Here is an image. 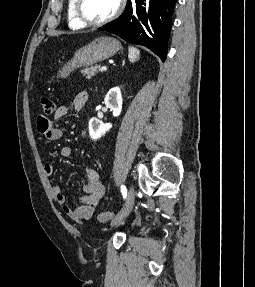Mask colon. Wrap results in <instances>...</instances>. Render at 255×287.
I'll use <instances>...</instances> for the list:
<instances>
[{"instance_id": "5ec220e1", "label": "colon", "mask_w": 255, "mask_h": 287, "mask_svg": "<svg viewBox=\"0 0 255 287\" xmlns=\"http://www.w3.org/2000/svg\"><path fill=\"white\" fill-rule=\"evenodd\" d=\"M41 105H42L43 112L46 115H51L55 112L56 105L51 99L42 98L41 99ZM113 216H114L113 212H101L98 214L97 220L99 222H106V221L110 220Z\"/></svg>"}]
</instances>
